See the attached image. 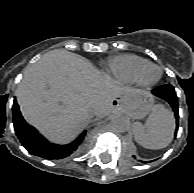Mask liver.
<instances>
[{"label":"liver","mask_w":194,"mask_h":193,"mask_svg":"<svg viewBox=\"0 0 194 193\" xmlns=\"http://www.w3.org/2000/svg\"><path fill=\"white\" fill-rule=\"evenodd\" d=\"M141 92L102 74L83 57L56 49L25 70L16 96L30 125L50 141L65 144L94 116L119 110L115 100Z\"/></svg>","instance_id":"1"}]
</instances>
